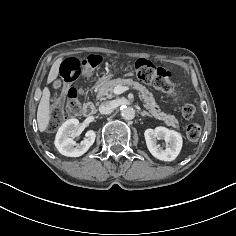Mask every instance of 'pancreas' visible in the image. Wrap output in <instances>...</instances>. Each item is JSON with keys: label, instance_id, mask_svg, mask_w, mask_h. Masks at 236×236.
Returning <instances> with one entry per match:
<instances>
[{"label": "pancreas", "instance_id": "cf45deb5", "mask_svg": "<svg viewBox=\"0 0 236 236\" xmlns=\"http://www.w3.org/2000/svg\"><path fill=\"white\" fill-rule=\"evenodd\" d=\"M129 86L139 91L140 97L146 103L145 107L150 110L152 115L159 120L164 121L167 126H172L175 129H179V122L173 115H167L161 112L159 106L155 102V98L152 93L142 84L133 81L132 79L117 78L114 80H106L97 87L98 99H110L114 96V88L116 86Z\"/></svg>", "mask_w": 236, "mask_h": 236}]
</instances>
